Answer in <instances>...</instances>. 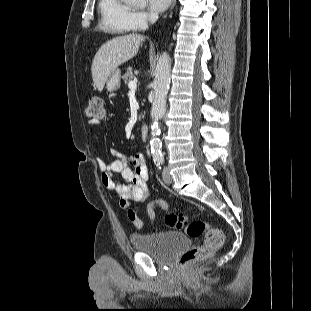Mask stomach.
I'll return each instance as SVG.
<instances>
[{
  "mask_svg": "<svg viewBox=\"0 0 311 311\" xmlns=\"http://www.w3.org/2000/svg\"><path fill=\"white\" fill-rule=\"evenodd\" d=\"M120 88V71L115 70L106 81V89L110 92Z\"/></svg>",
  "mask_w": 311,
  "mask_h": 311,
  "instance_id": "0dacf381",
  "label": "stomach"
}]
</instances>
